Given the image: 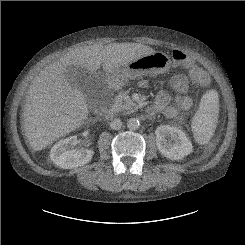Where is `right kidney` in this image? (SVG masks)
<instances>
[{
	"mask_svg": "<svg viewBox=\"0 0 245 245\" xmlns=\"http://www.w3.org/2000/svg\"><path fill=\"white\" fill-rule=\"evenodd\" d=\"M77 136L58 141L50 151V159L55 165L63 169L83 166L91 161L94 151L91 149H76Z\"/></svg>",
	"mask_w": 245,
	"mask_h": 245,
	"instance_id": "right-kidney-1",
	"label": "right kidney"
}]
</instances>
